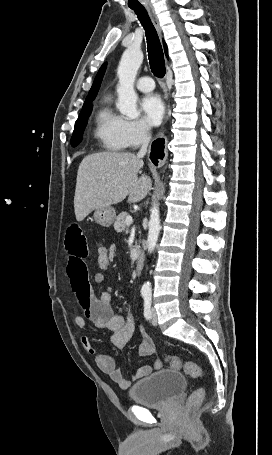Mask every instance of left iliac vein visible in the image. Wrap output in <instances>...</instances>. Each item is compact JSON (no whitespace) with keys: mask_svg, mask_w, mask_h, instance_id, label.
I'll return each instance as SVG.
<instances>
[{"mask_svg":"<svg viewBox=\"0 0 272 455\" xmlns=\"http://www.w3.org/2000/svg\"><path fill=\"white\" fill-rule=\"evenodd\" d=\"M151 323L153 325H157V323H158L157 313H156V310L154 308L151 309Z\"/></svg>","mask_w":272,"mask_h":455,"instance_id":"1","label":"left iliac vein"}]
</instances>
